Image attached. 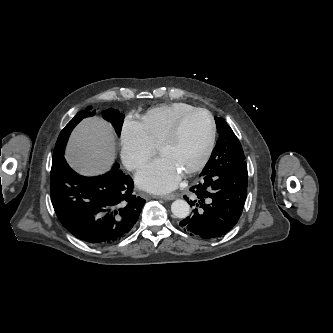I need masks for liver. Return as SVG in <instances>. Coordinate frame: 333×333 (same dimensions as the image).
Wrapping results in <instances>:
<instances>
[{
  "instance_id": "6515ba94",
  "label": "liver",
  "mask_w": 333,
  "mask_h": 333,
  "mask_svg": "<svg viewBox=\"0 0 333 333\" xmlns=\"http://www.w3.org/2000/svg\"><path fill=\"white\" fill-rule=\"evenodd\" d=\"M115 158V138L112 127L99 117L84 119L72 132L66 160L83 175L107 171Z\"/></svg>"
}]
</instances>
